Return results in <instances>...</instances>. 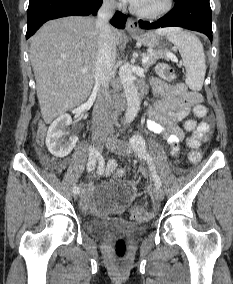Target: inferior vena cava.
<instances>
[{
    "label": "inferior vena cava",
    "instance_id": "602c4592",
    "mask_svg": "<svg viewBox=\"0 0 233 284\" xmlns=\"http://www.w3.org/2000/svg\"><path fill=\"white\" fill-rule=\"evenodd\" d=\"M115 0H103L98 11L96 28L99 32L98 56L95 66V87L97 100L93 109L92 124L94 131L113 133L114 120L111 114L112 96L109 83L113 75L116 59V42L113 28L108 20L114 14Z\"/></svg>",
    "mask_w": 233,
    "mask_h": 284
}]
</instances>
